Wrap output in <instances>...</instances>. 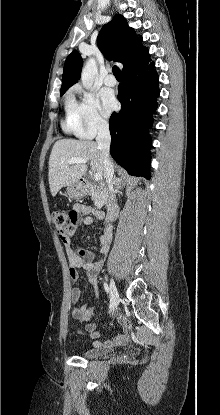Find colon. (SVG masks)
<instances>
[{"label": "colon", "mask_w": 220, "mask_h": 415, "mask_svg": "<svg viewBox=\"0 0 220 415\" xmlns=\"http://www.w3.org/2000/svg\"><path fill=\"white\" fill-rule=\"evenodd\" d=\"M52 217L53 223L57 228V232L59 234H62L68 228L71 219L74 218V215H72L71 212H68L66 210H56L53 212Z\"/></svg>", "instance_id": "obj_1"}]
</instances>
